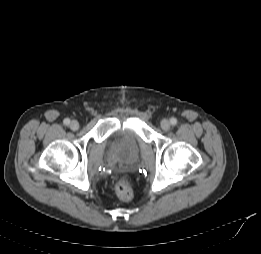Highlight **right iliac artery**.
<instances>
[{
    "instance_id": "obj_1",
    "label": "right iliac artery",
    "mask_w": 261,
    "mask_h": 254,
    "mask_svg": "<svg viewBox=\"0 0 261 254\" xmlns=\"http://www.w3.org/2000/svg\"><path fill=\"white\" fill-rule=\"evenodd\" d=\"M63 122H64L65 125H69L70 124V120L68 118L64 119Z\"/></svg>"
}]
</instances>
